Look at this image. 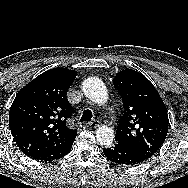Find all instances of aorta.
<instances>
[{"mask_svg":"<svg viewBox=\"0 0 188 188\" xmlns=\"http://www.w3.org/2000/svg\"><path fill=\"white\" fill-rule=\"evenodd\" d=\"M82 90L87 98L96 102L104 103L107 100L105 84L98 78L89 77L83 81ZM96 138L102 146L112 145L115 134L114 130L107 126H100L96 129Z\"/></svg>","mask_w":188,"mask_h":188,"instance_id":"762f6f07","label":"aorta"}]
</instances>
